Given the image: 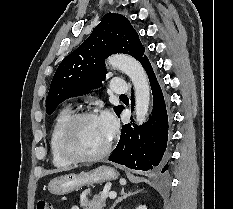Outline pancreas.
Instances as JSON below:
<instances>
[{"label":"pancreas","mask_w":233,"mask_h":209,"mask_svg":"<svg viewBox=\"0 0 233 209\" xmlns=\"http://www.w3.org/2000/svg\"><path fill=\"white\" fill-rule=\"evenodd\" d=\"M106 199L107 195L99 194L92 200L82 199L80 205L83 209H103Z\"/></svg>","instance_id":"pancreas-1"}]
</instances>
